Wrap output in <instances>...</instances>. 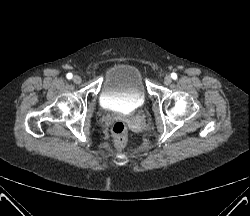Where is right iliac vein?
Segmentation results:
<instances>
[{
	"label": "right iliac vein",
	"instance_id": "1",
	"mask_svg": "<svg viewBox=\"0 0 250 216\" xmlns=\"http://www.w3.org/2000/svg\"><path fill=\"white\" fill-rule=\"evenodd\" d=\"M81 77L80 76H78V75H75L74 77H73V82L75 83V84H80L81 83Z\"/></svg>",
	"mask_w": 250,
	"mask_h": 216
}]
</instances>
